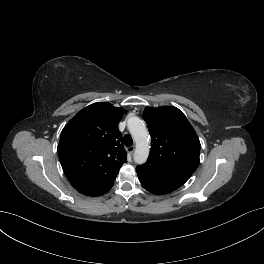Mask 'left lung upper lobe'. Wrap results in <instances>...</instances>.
I'll list each match as a JSON object with an SVG mask.
<instances>
[{"mask_svg":"<svg viewBox=\"0 0 264 264\" xmlns=\"http://www.w3.org/2000/svg\"><path fill=\"white\" fill-rule=\"evenodd\" d=\"M143 118L151 135L147 162L188 180L199 165L200 141L185 115L174 106L146 107Z\"/></svg>","mask_w":264,"mask_h":264,"instance_id":"5c2ea615","label":"left lung upper lobe"}]
</instances>
